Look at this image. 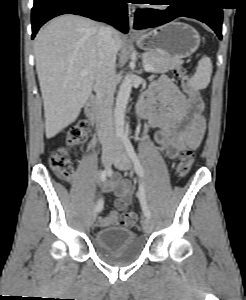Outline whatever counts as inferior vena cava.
Wrapping results in <instances>:
<instances>
[{
	"label": "inferior vena cava",
	"instance_id": "602c4592",
	"mask_svg": "<svg viewBox=\"0 0 246 300\" xmlns=\"http://www.w3.org/2000/svg\"><path fill=\"white\" fill-rule=\"evenodd\" d=\"M117 46L110 26L98 31L97 69L95 75L96 123L103 152L114 150L118 144L114 133L112 106L116 89L115 62Z\"/></svg>",
	"mask_w": 246,
	"mask_h": 300
}]
</instances>
